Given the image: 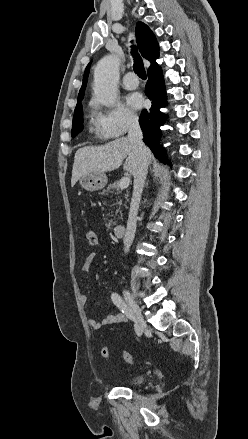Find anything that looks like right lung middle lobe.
Here are the masks:
<instances>
[{"label":"right lung middle lobe","instance_id":"dd1d6c3e","mask_svg":"<svg viewBox=\"0 0 248 439\" xmlns=\"http://www.w3.org/2000/svg\"><path fill=\"white\" fill-rule=\"evenodd\" d=\"M83 130V111L82 107L74 111L72 123V137H76Z\"/></svg>","mask_w":248,"mask_h":439}]
</instances>
